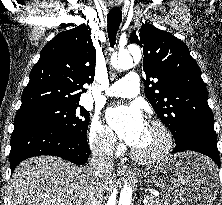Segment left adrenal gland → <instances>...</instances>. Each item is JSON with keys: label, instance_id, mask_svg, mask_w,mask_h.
<instances>
[{"label": "left adrenal gland", "instance_id": "left-adrenal-gland-1", "mask_svg": "<svg viewBox=\"0 0 222 205\" xmlns=\"http://www.w3.org/2000/svg\"><path fill=\"white\" fill-rule=\"evenodd\" d=\"M137 205H141V201L137 203Z\"/></svg>", "mask_w": 222, "mask_h": 205}]
</instances>
